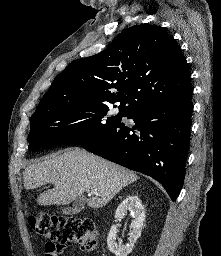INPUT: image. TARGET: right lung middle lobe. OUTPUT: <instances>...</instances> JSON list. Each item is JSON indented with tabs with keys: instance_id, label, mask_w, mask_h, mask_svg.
I'll return each instance as SVG.
<instances>
[{
	"instance_id": "dd1d6c3e",
	"label": "right lung middle lobe",
	"mask_w": 221,
	"mask_h": 256,
	"mask_svg": "<svg viewBox=\"0 0 221 256\" xmlns=\"http://www.w3.org/2000/svg\"><path fill=\"white\" fill-rule=\"evenodd\" d=\"M132 115L123 106H119L117 115H111L109 104H78L34 114L30 119L28 148L81 145L121 123L123 116Z\"/></svg>"
}]
</instances>
